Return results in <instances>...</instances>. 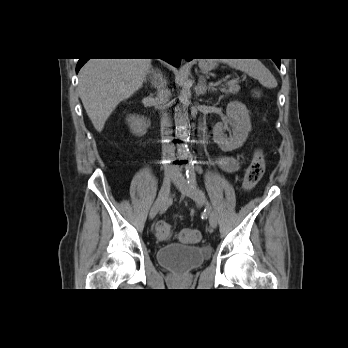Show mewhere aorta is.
I'll list each match as a JSON object with an SVG mask.
<instances>
[{
  "instance_id": "obj_1",
  "label": "aorta",
  "mask_w": 348,
  "mask_h": 348,
  "mask_svg": "<svg viewBox=\"0 0 348 348\" xmlns=\"http://www.w3.org/2000/svg\"><path fill=\"white\" fill-rule=\"evenodd\" d=\"M181 91L179 94V105L175 107L174 119L176 126V137L180 140L177 145L178 153L182 157L189 155V148L187 142L190 137V120L188 116V105L191 99V85L188 79L181 83Z\"/></svg>"
}]
</instances>
